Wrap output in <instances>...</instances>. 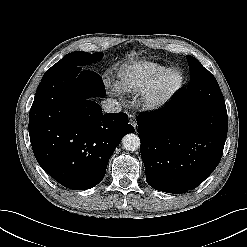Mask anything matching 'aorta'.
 I'll use <instances>...</instances> for the list:
<instances>
[{
	"instance_id": "762f6f07",
	"label": "aorta",
	"mask_w": 247,
	"mask_h": 247,
	"mask_svg": "<svg viewBox=\"0 0 247 247\" xmlns=\"http://www.w3.org/2000/svg\"><path fill=\"white\" fill-rule=\"evenodd\" d=\"M123 147L128 151H136L140 148V138L133 134H126L122 139Z\"/></svg>"
}]
</instances>
